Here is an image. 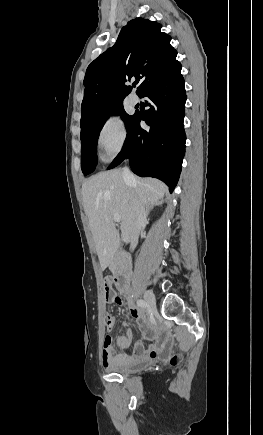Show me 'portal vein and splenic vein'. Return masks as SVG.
Returning <instances> with one entry per match:
<instances>
[{"label": "portal vein and splenic vein", "mask_w": 263, "mask_h": 435, "mask_svg": "<svg viewBox=\"0 0 263 435\" xmlns=\"http://www.w3.org/2000/svg\"><path fill=\"white\" fill-rule=\"evenodd\" d=\"M113 220H114L115 222H120V221H121V217H120L119 215H114V216H113Z\"/></svg>", "instance_id": "portal-vein-and-splenic-vein-1"}]
</instances>
